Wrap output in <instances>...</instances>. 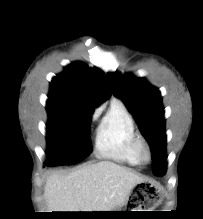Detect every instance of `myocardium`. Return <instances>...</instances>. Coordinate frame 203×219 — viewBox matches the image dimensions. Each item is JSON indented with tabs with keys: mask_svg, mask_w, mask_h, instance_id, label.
<instances>
[{
	"mask_svg": "<svg viewBox=\"0 0 203 219\" xmlns=\"http://www.w3.org/2000/svg\"><path fill=\"white\" fill-rule=\"evenodd\" d=\"M135 148L139 159L142 162H149L152 158V152L148 142L142 137L137 136L135 139Z\"/></svg>",
	"mask_w": 203,
	"mask_h": 219,
	"instance_id": "obj_1",
	"label": "myocardium"
}]
</instances>
